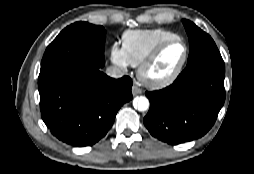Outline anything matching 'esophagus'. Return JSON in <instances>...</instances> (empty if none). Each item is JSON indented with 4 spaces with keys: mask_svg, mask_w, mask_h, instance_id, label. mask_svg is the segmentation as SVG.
<instances>
[{
    "mask_svg": "<svg viewBox=\"0 0 254 174\" xmlns=\"http://www.w3.org/2000/svg\"><path fill=\"white\" fill-rule=\"evenodd\" d=\"M141 93H142V90L140 89L139 86H137V85H133V86H132V94H133L134 96L139 95V94H141Z\"/></svg>",
    "mask_w": 254,
    "mask_h": 174,
    "instance_id": "esophagus-1",
    "label": "esophagus"
}]
</instances>
